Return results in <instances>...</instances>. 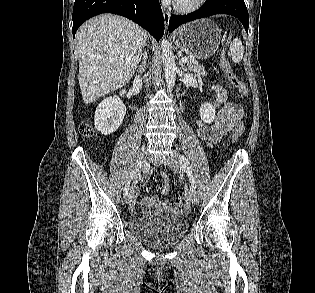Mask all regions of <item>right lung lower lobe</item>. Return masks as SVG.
Instances as JSON below:
<instances>
[{
    "label": "right lung lower lobe",
    "instance_id": "1",
    "mask_svg": "<svg viewBox=\"0 0 315 293\" xmlns=\"http://www.w3.org/2000/svg\"><path fill=\"white\" fill-rule=\"evenodd\" d=\"M106 12L131 19L157 41L163 35L164 18L158 0H75L72 16L73 35L84 21Z\"/></svg>",
    "mask_w": 315,
    "mask_h": 293
}]
</instances>
